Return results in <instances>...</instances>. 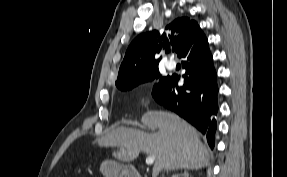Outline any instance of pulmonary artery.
Here are the masks:
<instances>
[{
	"instance_id": "e3ab8cb5",
	"label": "pulmonary artery",
	"mask_w": 287,
	"mask_h": 177,
	"mask_svg": "<svg viewBox=\"0 0 287 177\" xmlns=\"http://www.w3.org/2000/svg\"><path fill=\"white\" fill-rule=\"evenodd\" d=\"M166 67H167L169 70H173V69L176 67L175 61L172 60V59H170L169 61H167Z\"/></svg>"
}]
</instances>
